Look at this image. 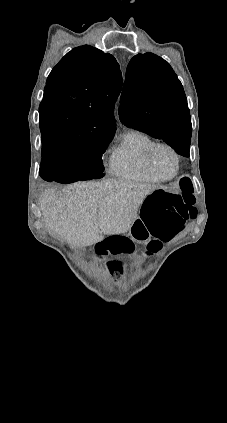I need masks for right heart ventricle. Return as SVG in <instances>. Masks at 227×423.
Returning a JSON list of instances; mask_svg holds the SVG:
<instances>
[{
	"instance_id": "1",
	"label": "right heart ventricle",
	"mask_w": 227,
	"mask_h": 423,
	"mask_svg": "<svg viewBox=\"0 0 227 423\" xmlns=\"http://www.w3.org/2000/svg\"><path fill=\"white\" fill-rule=\"evenodd\" d=\"M152 143L153 140L147 133L136 129L126 130L111 154L110 173L117 178L141 183L160 182L144 165L145 150Z\"/></svg>"
}]
</instances>
